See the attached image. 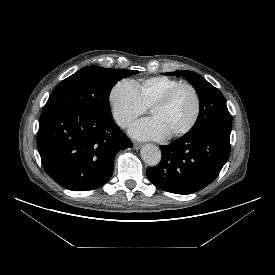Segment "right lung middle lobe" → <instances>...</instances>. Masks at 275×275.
Listing matches in <instances>:
<instances>
[{"mask_svg": "<svg viewBox=\"0 0 275 275\" xmlns=\"http://www.w3.org/2000/svg\"><path fill=\"white\" fill-rule=\"evenodd\" d=\"M136 70L85 67L59 83L44 109L72 107L112 118L109 95L118 80L137 74Z\"/></svg>", "mask_w": 275, "mask_h": 275, "instance_id": "obj_1", "label": "right lung middle lobe"}]
</instances>
